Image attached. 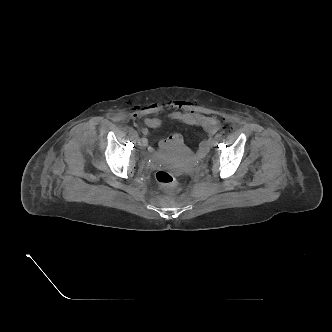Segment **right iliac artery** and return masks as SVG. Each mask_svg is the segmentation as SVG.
I'll use <instances>...</instances> for the list:
<instances>
[{
  "mask_svg": "<svg viewBox=\"0 0 332 332\" xmlns=\"http://www.w3.org/2000/svg\"><path fill=\"white\" fill-rule=\"evenodd\" d=\"M125 130L128 131V132H131L133 130V128L132 127H126Z\"/></svg>",
  "mask_w": 332,
  "mask_h": 332,
  "instance_id": "1",
  "label": "right iliac artery"
}]
</instances>
